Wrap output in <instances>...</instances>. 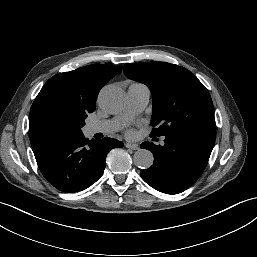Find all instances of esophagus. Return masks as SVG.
<instances>
[{
    "mask_svg": "<svg viewBox=\"0 0 257 257\" xmlns=\"http://www.w3.org/2000/svg\"><path fill=\"white\" fill-rule=\"evenodd\" d=\"M125 147L129 148V149H132V150H138L139 149V145L138 144L126 143Z\"/></svg>",
    "mask_w": 257,
    "mask_h": 257,
    "instance_id": "1",
    "label": "esophagus"
}]
</instances>
